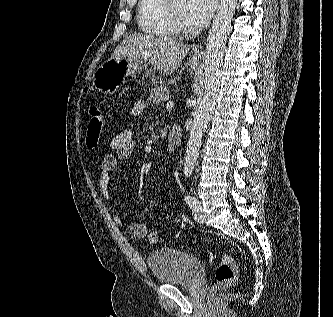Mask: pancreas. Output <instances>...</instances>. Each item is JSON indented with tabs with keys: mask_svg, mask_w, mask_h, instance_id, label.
Segmentation results:
<instances>
[{
	"mask_svg": "<svg viewBox=\"0 0 333 317\" xmlns=\"http://www.w3.org/2000/svg\"><path fill=\"white\" fill-rule=\"evenodd\" d=\"M170 94V87L168 85L157 86L150 92L149 100L153 104H159L163 98L168 97Z\"/></svg>",
	"mask_w": 333,
	"mask_h": 317,
	"instance_id": "cf45deb5",
	"label": "pancreas"
}]
</instances>
